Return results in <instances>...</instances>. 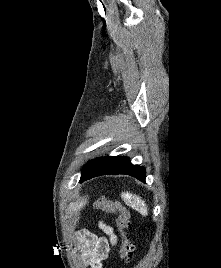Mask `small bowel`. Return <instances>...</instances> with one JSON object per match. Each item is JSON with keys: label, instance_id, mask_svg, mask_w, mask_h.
<instances>
[{"label": "small bowel", "instance_id": "1", "mask_svg": "<svg viewBox=\"0 0 221 268\" xmlns=\"http://www.w3.org/2000/svg\"><path fill=\"white\" fill-rule=\"evenodd\" d=\"M100 228L106 237H98L87 229L77 233L82 259L90 268H102V262L108 257L111 246L117 242L111 226L101 223Z\"/></svg>", "mask_w": 221, "mask_h": 268}]
</instances>
